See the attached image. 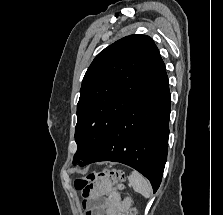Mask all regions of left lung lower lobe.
Instances as JSON below:
<instances>
[{"label": "left lung lower lobe", "instance_id": "1", "mask_svg": "<svg viewBox=\"0 0 223 215\" xmlns=\"http://www.w3.org/2000/svg\"><path fill=\"white\" fill-rule=\"evenodd\" d=\"M169 115L170 92L163 64L86 164L114 161L129 165L150 180L155 193L167 159Z\"/></svg>", "mask_w": 223, "mask_h": 215}]
</instances>
